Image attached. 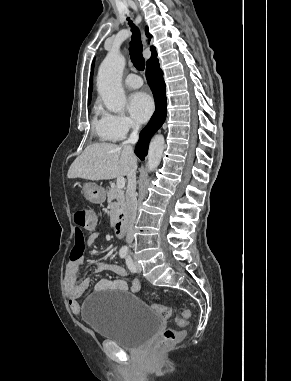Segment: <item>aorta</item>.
<instances>
[{
  "label": "aorta",
  "instance_id": "1",
  "mask_svg": "<svg viewBox=\"0 0 291 381\" xmlns=\"http://www.w3.org/2000/svg\"><path fill=\"white\" fill-rule=\"evenodd\" d=\"M125 57L118 51H110L101 63L97 88L106 108L113 113H121L126 105V96L121 85L122 74L125 67ZM164 136L155 135L148 149V170H155L160 164L164 150Z\"/></svg>",
  "mask_w": 291,
  "mask_h": 381
}]
</instances>
